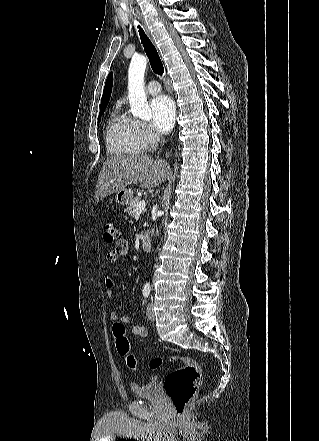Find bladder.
<instances>
[{
	"mask_svg": "<svg viewBox=\"0 0 319 441\" xmlns=\"http://www.w3.org/2000/svg\"><path fill=\"white\" fill-rule=\"evenodd\" d=\"M131 389L137 398H153L158 394V378L151 377L147 382L142 384L133 383Z\"/></svg>",
	"mask_w": 319,
	"mask_h": 441,
	"instance_id": "31cf9c89",
	"label": "bladder"
}]
</instances>
